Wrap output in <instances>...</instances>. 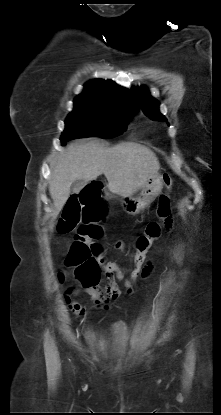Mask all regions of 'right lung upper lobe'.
Wrapping results in <instances>:
<instances>
[{"mask_svg": "<svg viewBox=\"0 0 221 415\" xmlns=\"http://www.w3.org/2000/svg\"><path fill=\"white\" fill-rule=\"evenodd\" d=\"M74 103H89L107 107H121L137 110L133 95L124 87L109 80H90L85 90L79 94Z\"/></svg>", "mask_w": 221, "mask_h": 415, "instance_id": "obj_1", "label": "right lung upper lobe"}]
</instances>
